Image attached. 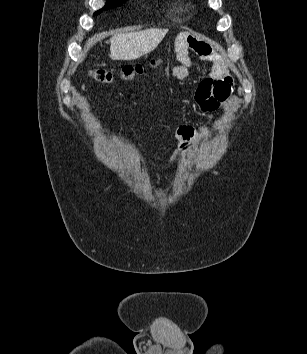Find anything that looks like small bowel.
<instances>
[{
    "mask_svg": "<svg viewBox=\"0 0 307 354\" xmlns=\"http://www.w3.org/2000/svg\"><path fill=\"white\" fill-rule=\"evenodd\" d=\"M191 52H194L198 58L210 67V73L190 94L203 111H213L219 104L225 101L231 90L232 78L217 55L213 47L205 42L193 37L182 38L178 40L175 46V55L178 65L171 72L172 78L180 83H185L189 76V68L193 65L194 59ZM212 130L207 125L192 126L180 125L176 130V139L179 143L181 152L191 149L195 142H198L210 136ZM177 161L176 155L173 157V163Z\"/></svg>",
    "mask_w": 307,
    "mask_h": 354,
    "instance_id": "obj_1",
    "label": "small bowel"
}]
</instances>
